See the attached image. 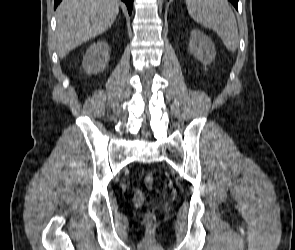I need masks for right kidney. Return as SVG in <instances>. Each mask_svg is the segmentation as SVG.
I'll use <instances>...</instances> for the list:
<instances>
[{
  "label": "right kidney",
  "mask_w": 295,
  "mask_h": 250,
  "mask_svg": "<svg viewBox=\"0 0 295 250\" xmlns=\"http://www.w3.org/2000/svg\"><path fill=\"white\" fill-rule=\"evenodd\" d=\"M110 60L109 45L106 41H98L92 44L83 57L82 66L84 71L90 74H97L106 69Z\"/></svg>",
  "instance_id": "right-kidney-1"
}]
</instances>
